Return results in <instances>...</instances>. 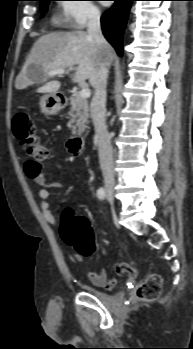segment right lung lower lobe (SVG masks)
Listing matches in <instances>:
<instances>
[{"mask_svg": "<svg viewBox=\"0 0 193 349\" xmlns=\"http://www.w3.org/2000/svg\"><path fill=\"white\" fill-rule=\"evenodd\" d=\"M114 5L101 17L102 30L106 39L122 55V36L129 9L134 0H114Z\"/></svg>", "mask_w": 193, "mask_h": 349, "instance_id": "1", "label": "right lung lower lobe"}]
</instances>
